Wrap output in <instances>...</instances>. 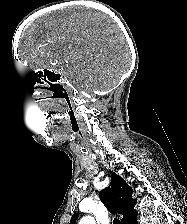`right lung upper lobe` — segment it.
I'll return each instance as SVG.
<instances>
[{
  "label": "right lung upper lobe",
  "instance_id": "1",
  "mask_svg": "<svg viewBox=\"0 0 187 224\" xmlns=\"http://www.w3.org/2000/svg\"><path fill=\"white\" fill-rule=\"evenodd\" d=\"M99 196L111 213H120L123 215L121 219L122 224H131L137 218V211L134 210L136 200L132 198V189L114 172L111 173L109 187L102 190ZM77 218L78 214L74 213L70 224H75Z\"/></svg>",
  "mask_w": 187,
  "mask_h": 224
}]
</instances>
